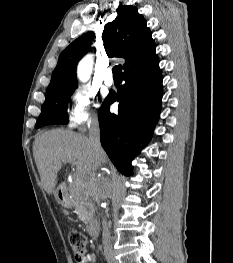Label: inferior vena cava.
I'll list each match as a JSON object with an SVG mask.
<instances>
[{
    "mask_svg": "<svg viewBox=\"0 0 233 263\" xmlns=\"http://www.w3.org/2000/svg\"><path fill=\"white\" fill-rule=\"evenodd\" d=\"M89 141L95 153V160L99 163V155L102 152L101 144H100V129H99V121L96 116L92 117L89 124ZM83 185L90 184L94 189V182L91 180L86 182L82 181ZM95 191V190H94ZM103 232H102V243L104 248V254L106 256L108 263H117L115 259V255L113 252V248L111 245V237L109 228L105 218L102 220Z\"/></svg>",
    "mask_w": 233,
    "mask_h": 263,
    "instance_id": "1",
    "label": "inferior vena cava"
}]
</instances>
